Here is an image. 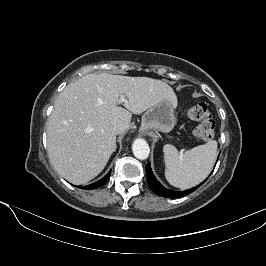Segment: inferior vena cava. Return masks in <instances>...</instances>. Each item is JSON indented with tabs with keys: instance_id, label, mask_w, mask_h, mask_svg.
I'll return each mask as SVG.
<instances>
[{
	"instance_id": "inferior-vena-cava-1",
	"label": "inferior vena cava",
	"mask_w": 266,
	"mask_h": 266,
	"mask_svg": "<svg viewBox=\"0 0 266 266\" xmlns=\"http://www.w3.org/2000/svg\"><path fill=\"white\" fill-rule=\"evenodd\" d=\"M125 129L126 125L122 120H115L111 123V130L116 135L123 133Z\"/></svg>"
}]
</instances>
